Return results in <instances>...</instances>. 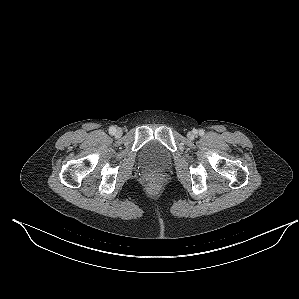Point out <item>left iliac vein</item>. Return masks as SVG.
Returning a JSON list of instances; mask_svg holds the SVG:
<instances>
[{
  "instance_id": "1",
  "label": "left iliac vein",
  "mask_w": 299,
  "mask_h": 299,
  "mask_svg": "<svg viewBox=\"0 0 299 299\" xmlns=\"http://www.w3.org/2000/svg\"><path fill=\"white\" fill-rule=\"evenodd\" d=\"M187 137H188L190 140H193L194 137H195L194 132H188Z\"/></svg>"
}]
</instances>
